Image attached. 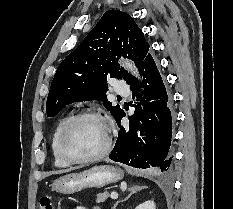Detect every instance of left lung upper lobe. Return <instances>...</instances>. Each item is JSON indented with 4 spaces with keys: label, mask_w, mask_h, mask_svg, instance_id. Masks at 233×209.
<instances>
[{
    "label": "left lung upper lobe",
    "mask_w": 233,
    "mask_h": 209,
    "mask_svg": "<svg viewBox=\"0 0 233 209\" xmlns=\"http://www.w3.org/2000/svg\"><path fill=\"white\" fill-rule=\"evenodd\" d=\"M140 28L133 18L119 10L105 12L81 44L59 65L47 98V117H54L66 105L99 100L115 120L123 109L112 106L105 95L107 78L133 77L118 64V59H131L139 68L149 54Z\"/></svg>",
    "instance_id": "obj_1"
}]
</instances>
